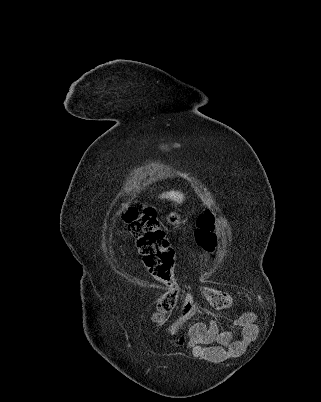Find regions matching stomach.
Segmentation results:
<instances>
[{"label":"stomach","instance_id":"obj_1","mask_svg":"<svg viewBox=\"0 0 321 402\" xmlns=\"http://www.w3.org/2000/svg\"><path fill=\"white\" fill-rule=\"evenodd\" d=\"M167 223L172 225V226H179V224L181 223V218L178 214L176 213H170L167 217H166Z\"/></svg>","mask_w":321,"mask_h":402}]
</instances>
